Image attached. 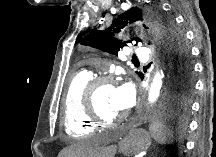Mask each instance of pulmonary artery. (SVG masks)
<instances>
[{
  "instance_id": "pulmonary-artery-1",
  "label": "pulmonary artery",
  "mask_w": 216,
  "mask_h": 157,
  "mask_svg": "<svg viewBox=\"0 0 216 157\" xmlns=\"http://www.w3.org/2000/svg\"><path fill=\"white\" fill-rule=\"evenodd\" d=\"M135 55L138 59L144 61L149 58L148 52L144 48H137L135 51ZM88 75V73H85Z\"/></svg>"
}]
</instances>
